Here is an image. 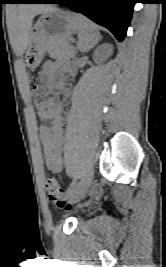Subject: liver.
<instances>
[{"instance_id": "obj_1", "label": "liver", "mask_w": 166, "mask_h": 267, "mask_svg": "<svg viewBox=\"0 0 166 267\" xmlns=\"http://www.w3.org/2000/svg\"><path fill=\"white\" fill-rule=\"evenodd\" d=\"M51 5H21L13 18L11 44L19 52L23 53L29 44L32 33V21L38 14L55 11Z\"/></svg>"}]
</instances>
